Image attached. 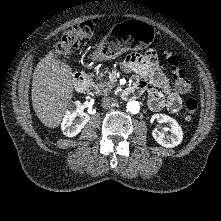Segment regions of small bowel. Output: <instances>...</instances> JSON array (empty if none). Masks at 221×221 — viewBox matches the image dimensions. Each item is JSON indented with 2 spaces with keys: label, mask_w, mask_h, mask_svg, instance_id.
Wrapping results in <instances>:
<instances>
[{
  "label": "small bowel",
  "mask_w": 221,
  "mask_h": 221,
  "mask_svg": "<svg viewBox=\"0 0 221 221\" xmlns=\"http://www.w3.org/2000/svg\"><path fill=\"white\" fill-rule=\"evenodd\" d=\"M121 68L126 72L139 75L136 86L142 93L147 90L149 107L153 111L166 108L171 113H177L182 107L181 93L175 86L173 89L160 68L147 53H130L122 62Z\"/></svg>",
  "instance_id": "c3829d8e"
}]
</instances>
